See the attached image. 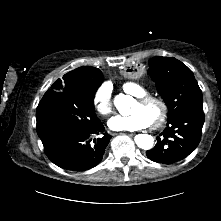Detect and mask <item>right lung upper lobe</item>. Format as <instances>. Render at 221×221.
Masks as SVG:
<instances>
[{
	"instance_id": "1",
	"label": "right lung upper lobe",
	"mask_w": 221,
	"mask_h": 221,
	"mask_svg": "<svg viewBox=\"0 0 221 221\" xmlns=\"http://www.w3.org/2000/svg\"><path fill=\"white\" fill-rule=\"evenodd\" d=\"M100 75H102L101 71L97 68L89 66L80 67L65 74L63 80L58 79L53 86L67 90L72 86L82 85L92 80L91 78H97Z\"/></svg>"
}]
</instances>
